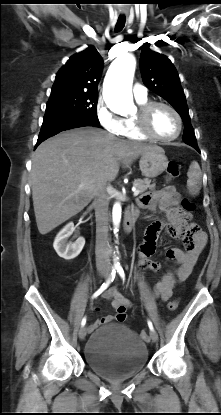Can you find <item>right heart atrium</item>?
I'll return each instance as SVG.
<instances>
[{"label":"right heart atrium","mask_w":221,"mask_h":415,"mask_svg":"<svg viewBox=\"0 0 221 415\" xmlns=\"http://www.w3.org/2000/svg\"><path fill=\"white\" fill-rule=\"evenodd\" d=\"M96 116L100 125L113 135H122L124 119L112 112L100 99L96 105Z\"/></svg>","instance_id":"1"}]
</instances>
